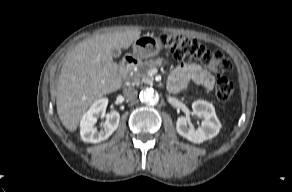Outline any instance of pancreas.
<instances>
[{
  "mask_svg": "<svg viewBox=\"0 0 292 192\" xmlns=\"http://www.w3.org/2000/svg\"><path fill=\"white\" fill-rule=\"evenodd\" d=\"M163 64V59H150L148 61L141 62L137 65V70L132 73L131 80L135 83H147L151 84L153 78L148 75V72L153 69L160 67Z\"/></svg>",
  "mask_w": 292,
  "mask_h": 192,
  "instance_id": "1",
  "label": "pancreas"
}]
</instances>
